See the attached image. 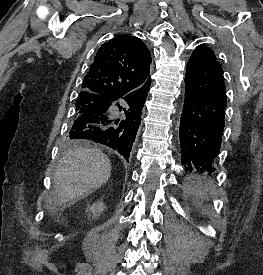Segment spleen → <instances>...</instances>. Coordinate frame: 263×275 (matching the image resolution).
I'll use <instances>...</instances> for the list:
<instances>
[{
	"label": "spleen",
	"mask_w": 263,
	"mask_h": 275,
	"mask_svg": "<svg viewBox=\"0 0 263 275\" xmlns=\"http://www.w3.org/2000/svg\"><path fill=\"white\" fill-rule=\"evenodd\" d=\"M190 189L192 192H194V194H199V195H203V186H201V184H194L191 183Z\"/></svg>",
	"instance_id": "spleen-1"
}]
</instances>
